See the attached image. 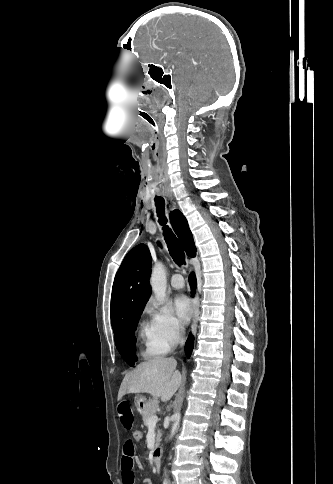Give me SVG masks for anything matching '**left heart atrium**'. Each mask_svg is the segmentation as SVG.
<instances>
[{
    "label": "left heart atrium",
    "instance_id": "left-heart-atrium-1",
    "mask_svg": "<svg viewBox=\"0 0 333 484\" xmlns=\"http://www.w3.org/2000/svg\"><path fill=\"white\" fill-rule=\"evenodd\" d=\"M174 310L183 323H187L194 313L193 304L185 295H178L175 298Z\"/></svg>",
    "mask_w": 333,
    "mask_h": 484
}]
</instances>
